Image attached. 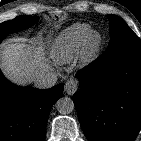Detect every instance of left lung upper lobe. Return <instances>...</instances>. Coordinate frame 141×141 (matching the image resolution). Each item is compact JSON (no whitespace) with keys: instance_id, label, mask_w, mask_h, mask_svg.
Here are the masks:
<instances>
[{"instance_id":"obj_1","label":"left lung upper lobe","mask_w":141,"mask_h":141,"mask_svg":"<svg viewBox=\"0 0 141 141\" xmlns=\"http://www.w3.org/2000/svg\"><path fill=\"white\" fill-rule=\"evenodd\" d=\"M110 21V42L107 52L141 50L140 38L119 17L107 15Z\"/></svg>"}]
</instances>
